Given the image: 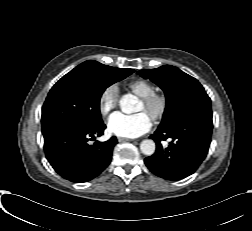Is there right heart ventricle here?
<instances>
[{
  "label": "right heart ventricle",
  "instance_id": "obj_1",
  "mask_svg": "<svg viewBox=\"0 0 252 231\" xmlns=\"http://www.w3.org/2000/svg\"><path fill=\"white\" fill-rule=\"evenodd\" d=\"M127 88L140 98L155 92L154 85L145 79H136L127 84Z\"/></svg>",
  "mask_w": 252,
  "mask_h": 231
}]
</instances>
